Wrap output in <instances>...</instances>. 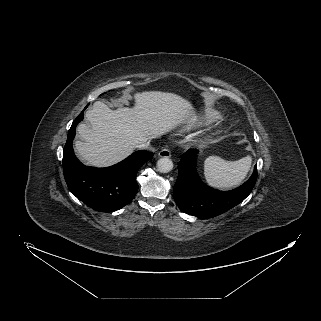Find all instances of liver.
<instances>
[{
	"label": "liver",
	"instance_id": "1",
	"mask_svg": "<svg viewBox=\"0 0 321 321\" xmlns=\"http://www.w3.org/2000/svg\"><path fill=\"white\" fill-rule=\"evenodd\" d=\"M133 99L131 108L113 111L96 101L86 112L91 127L78 125L81 140L75 141V149L87 164L113 165L129 156L137 145L175 130L195 115L191 102L174 93L135 92Z\"/></svg>",
	"mask_w": 321,
	"mask_h": 321
}]
</instances>
